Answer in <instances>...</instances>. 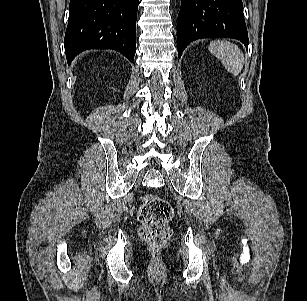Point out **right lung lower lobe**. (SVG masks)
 Returning a JSON list of instances; mask_svg holds the SVG:
<instances>
[{
	"instance_id": "98d812e1",
	"label": "right lung lower lobe",
	"mask_w": 307,
	"mask_h": 301,
	"mask_svg": "<svg viewBox=\"0 0 307 301\" xmlns=\"http://www.w3.org/2000/svg\"><path fill=\"white\" fill-rule=\"evenodd\" d=\"M139 0H70L64 38L68 63L86 49H115L131 62Z\"/></svg>"
}]
</instances>
